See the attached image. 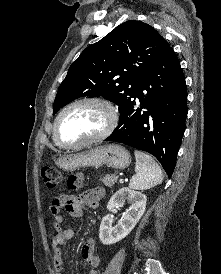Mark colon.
<instances>
[{
	"instance_id": "5ec220e1",
	"label": "colon",
	"mask_w": 221,
	"mask_h": 274,
	"mask_svg": "<svg viewBox=\"0 0 221 274\" xmlns=\"http://www.w3.org/2000/svg\"><path fill=\"white\" fill-rule=\"evenodd\" d=\"M43 182L48 188H55L62 180L61 171L55 167H45L42 169ZM81 184V177L73 175L68 180V187L71 190L77 189Z\"/></svg>"
}]
</instances>
